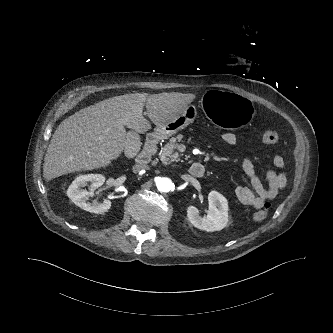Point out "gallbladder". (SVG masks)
Returning <instances> with one entry per match:
<instances>
[{
    "label": "gallbladder",
    "mask_w": 333,
    "mask_h": 333,
    "mask_svg": "<svg viewBox=\"0 0 333 333\" xmlns=\"http://www.w3.org/2000/svg\"><path fill=\"white\" fill-rule=\"evenodd\" d=\"M140 145V139L138 137V135L135 132H130L128 134V143L127 146H137L139 147Z\"/></svg>",
    "instance_id": "1"
}]
</instances>
